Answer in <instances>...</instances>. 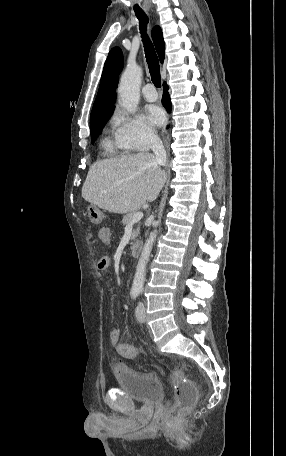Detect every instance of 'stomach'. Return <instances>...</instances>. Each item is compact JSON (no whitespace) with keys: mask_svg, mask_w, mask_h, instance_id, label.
<instances>
[{"mask_svg":"<svg viewBox=\"0 0 286 456\" xmlns=\"http://www.w3.org/2000/svg\"><path fill=\"white\" fill-rule=\"evenodd\" d=\"M87 213H88L89 219L93 223H99L104 217L103 213L95 205H90L88 207Z\"/></svg>","mask_w":286,"mask_h":456,"instance_id":"obj_1","label":"stomach"}]
</instances>
